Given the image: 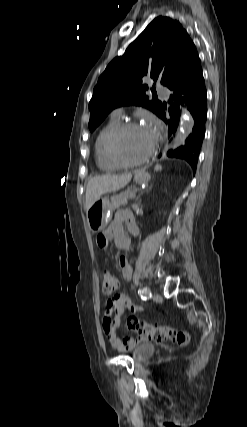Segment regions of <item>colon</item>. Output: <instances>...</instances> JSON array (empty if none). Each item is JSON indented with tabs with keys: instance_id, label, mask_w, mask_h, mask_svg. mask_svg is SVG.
<instances>
[{
	"instance_id": "5ec220e1",
	"label": "colon",
	"mask_w": 247,
	"mask_h": 427,
	"mask_svg": "<svg viewBox=\"0 0 247 427\" xmlns=\"http://www.w3.org/2000/svg\"><path fill=\"white\" fill-rule=\"evenodd\" d=\"M118 287L117 276L111 271L102 273V291L109 295ZM127 326L130 330L139 334L140 337L146 340H154L158 342L173 341L178 345H185L189 342L191 334L185 330H179L167 325H153L136 318L129 317Z\"/></svg>"
}]
</instances>
